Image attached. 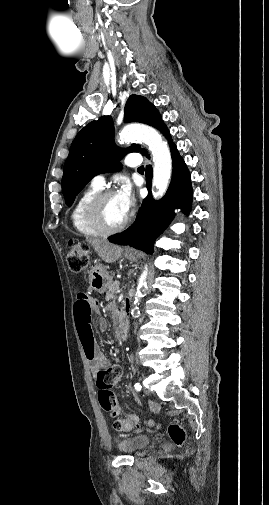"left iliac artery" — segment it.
I'll return each mask as SVG.
<instances>
[{"mask_svg":"<svg viewBox=\"0 0 269 505\" xmlns=\"http://www.w3.org/2000/svg\"><path fill=\"white\" fill-rule=\"evenodd\" d=\"M134 387H135V390H136V391H141V388H142V387H141V385H140L139 383H136V384L134 385Z\"/></svg>","mask_w":269,"mask_h":505,"instance_id":"44dca946","label":"left iliac artery"}]
</instances>
